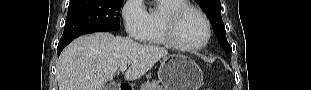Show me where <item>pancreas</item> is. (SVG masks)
Instances as JSON below:
<instances>
[{"label": "pancreas", "mask_w": 311, "mask_h": 90, "mask_svg": "<svg viewBox=\"0 0 311 90\" xmlns=\"http://www.w3.org/2000/svg\"><path fill=\"white\" fill-rule=\"evenodd\" d=\"M141 90H164L158 81L145 82L141 85Z\"/></svg>", "instance_id": "obj_1"}]
</instances>
